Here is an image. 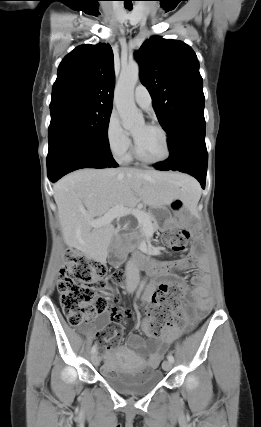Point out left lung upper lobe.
<instances>
[{
  "label": "left lung upper lobe",
  "mask_w": 261,
  "mask_h": 427,
  "mask_svg": "<svg viewBox=\"0 0 261 427\" xmlns=\"http://www.w3.org/2000/svg\"><path fill=\"white\" fill-rule=\"evenodd\" d=\"M136 59L141 82L167 134L185 117L204 116L203 80L190 46L154 36L142 44Z\"/></svg>",
  "instance_id": "1"
}]
</instances>
